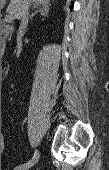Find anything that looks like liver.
<instances>
[{
    "label": "liver",
    "instance_id": "1",
    "mask_svg": "<svg viewBox=\"0 0 109 170\" xmlns=\"http://www.w3.org/2000/svg\"><path fill=\"white\" fill-rule=\"evenodd\" d=\"M5 2L6 0H1L2 6L5 4ZM31 2H33L36 7L42 4L48 5L50 0H31ZM23 3L24 0H10V4L8 5L7 12L8 11L12 12L16 19H20L22 14Z\"/></svg>",
    "mask_w": 109,
    "mask_h": 170
}]
</instances>
